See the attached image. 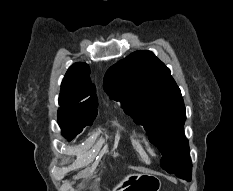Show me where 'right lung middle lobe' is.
Returning a JSON list of instances; mask_svg holds the SVG:
<instances>
[{
    "label": "right lung middle lobe",
    "instance_id": "1",
    "mask_svg": "<svg viewBox=\"0 0 233 191\" xmlns=\"http://www.w3.org/2000/svg\"><path fill=\"white\" fill-rule=\"evenodd\" d=\"M97 114L91 115H68L58 112V123L62 129L63 136L68 140H73L86 125H90Z\"/></svg>",
    "mask_w": 233,
    "mask_h": 191
}]
</instances>
